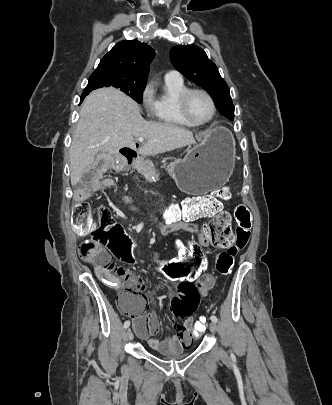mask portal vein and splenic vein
<instances>
[{"mask_svg":"<svg viewBox=\"0 0 332 405\" xmlns=\"http://www.w3.org/2000/svg\"><path fill=\"white\" fill-rule=\"evenodd\" d=\"M138 141H139V142H144V138L139 137V138H138Z\"/></svg>","mask_w":332,"mask_h":405,"instance_id":"1","label":"portal vein and splenic vein"}]
</instances>
